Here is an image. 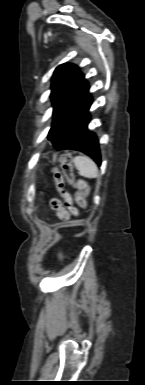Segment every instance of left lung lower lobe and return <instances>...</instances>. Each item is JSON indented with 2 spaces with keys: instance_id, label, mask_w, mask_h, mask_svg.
Returning <instances> with one entry per match:
<instances>
[{
  "instance_id": "obj_1",
  "label": "left lung lower lobe",
  "mask_w": 145,
  "mask_h": 385,
  "mask_svg": "<svg viewBox=\"0 0 145 385\" xmlns=\"http://www.w3.org/2000/svg\"><path fill=\"white\" fill-rule=\"evenodd\" d=\"M91 103L92 99L87 91L80 102L63 119L51 141L57 150L73 149L85 152L100 166L101 158L97 137L87 130L90 120L88 109Z\"/></svg>"
}]
</instances>
